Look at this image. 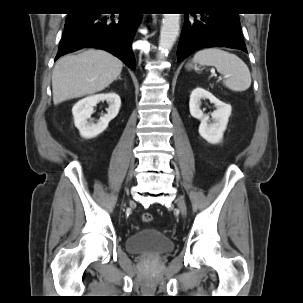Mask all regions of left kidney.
Returning <instances> with one entry per match:
<instances>
[{
    "mask_svg": "<svg viewBox=\"0 0 303 303\" xmlns=\"http://www.w3.org/2000/svg\"><path fill=\"white\" fill-rule=\"evenodd\" d=\"M201 99H209L216 107V110L211 113L212 122H210V116L204 114L200 109ZM189 109L192 117L201 121L199 126L200 136L211 144L221 142L231 115V105L220 101L205 89L197 87L190 95Z\"/></svg>",
    "mask_w": 303,
    "mask_h": 303,
    "instance_id": "left-kidney-1",
    "label": "left kidney"
}]
</instances>
